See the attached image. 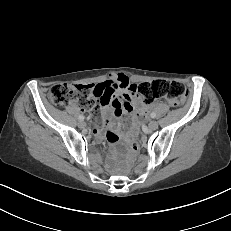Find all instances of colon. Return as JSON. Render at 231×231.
Returning a JSON list of instances; mask_svg holds the SVG:
<instances>
[{
  "label": "colon",
  "instance_id": "colon-1",
  "mask_svg": "<svg viewBox=\"0 0 231 231\" xmlns=\"http://www.w3.org/2000/svg\"><path fill=\"white\" fill-rule=\"evenodd\" d=\"M138 92L145 105L160 99L166 98L171 105H180L187 96L186 88L179 82L168 80H152L141 83ZM93 94L91 85L58 84L53 86L47 93L48 101L55 106H63L67 103H77L92 107ZM97 108L93 114L96 115ZM131 155L136 158L140 153V144L135 137L129 140Z\"/></svg>",
  "mask_w": 231,
  "mask_h": 231
}]
</instances>
